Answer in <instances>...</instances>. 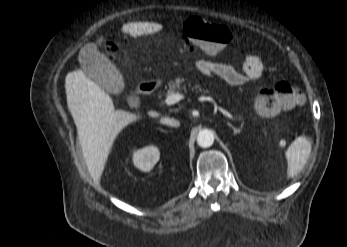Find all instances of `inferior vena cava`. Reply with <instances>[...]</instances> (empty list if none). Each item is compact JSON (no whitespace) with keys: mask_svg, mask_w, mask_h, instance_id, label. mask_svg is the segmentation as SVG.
I'll use <instances>...</instances> for the list:
<instances>
[{"mask_svg":"<svg viewBox=\"0 0 347 247\" xmlns=\"http://www.w3.org/2000/svg\"><path fill=\"white\" fill-rule=\"evenodd\" d=\"M160 123L162 124H166L169 126H173V127H178L180 125V122L176 119L173 118H169V117H163L160 119Z\"/></svg>","mask_w":347,"mask_h":247,"instance_id":"1","label":"inferior vena cava"}]
</instances>
